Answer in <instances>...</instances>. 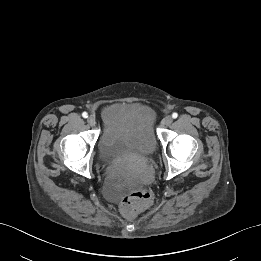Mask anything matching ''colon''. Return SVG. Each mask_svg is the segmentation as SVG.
Instances as JSON below:
<instances>
[{
	"label": "colon",
	"mask_w": 261,
	"mask_h": 261,
	"mask_svg": "<svg viewBox=\"0 0 261 261\" xmlns=\"http://www.w3.org/2000/svg\"><path fill=\"white\" fill-rule=\"evenodd\" d=\"M113 185L128 190V194L123 198L120 204V210L126 216L135 215L151 203L152 197L149 191L138 187L136 182L131 178L119 177L113 179Z\"/></svg>",
	"instance_id": "colon-1"
}]
</instances>
